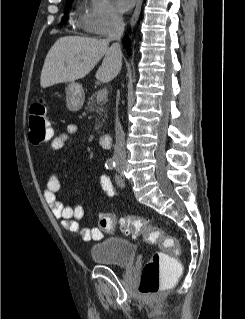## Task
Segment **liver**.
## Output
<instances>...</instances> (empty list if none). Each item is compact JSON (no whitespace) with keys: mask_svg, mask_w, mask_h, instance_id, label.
<instances>
[{"mask_svg":"<svg viewBox=\"0 0 245 319\" xmlns=\"http://www.w3.org/2000/svg\"><path fill=\"white\" fill-rule=\"evenodd\" d=\"M102 58V64L96 72V79L109 82L119 74L122 58L111 50L107 39L61 37L54 43L45 58L40 85L42 88H47L58 83L81 79Z\"/></svg>","mask_w":245,"mask_h":319,"instance_id":"obj_1","label":"liver"}]
</instances>
